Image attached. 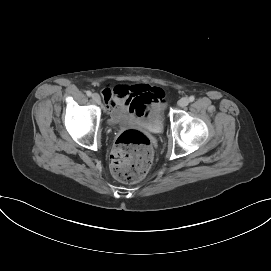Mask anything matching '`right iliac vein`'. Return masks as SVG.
<instances>
[{"instance_id":"1","label":"right iliac vein","mask_w":271,"mask_h":271,"mask_svg":"<svg viewBox=\"0 0 271 271\" xmlns=\"http://www.w3.org/2000/svg\"><path fill=\"white\" fill-rule=\"evenodd\" d=\"M92 100L97 104H99L101 102V98H100L98 93H93L92 94Z\"/></svg>"}]
</instances>
